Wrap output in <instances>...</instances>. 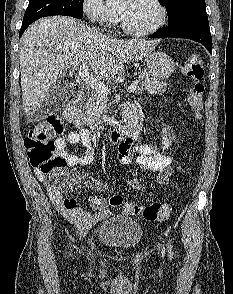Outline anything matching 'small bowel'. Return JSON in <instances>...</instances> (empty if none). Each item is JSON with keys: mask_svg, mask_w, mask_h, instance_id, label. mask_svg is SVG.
Listing matches in <instances>:
<instances>
[{"mask_svg": "<svg viewBox=\"0 0 233 294\" xmlns=\"http://www.w3.org/2000/svg\"><path fill=\"white\" fill-rule=\"evenodd\" d=\"M82 144L84 152L81 155H74L67 152V145ZM58 153L62 155L67 165L70 167L87 166L91 164L95 157L94 146L90 139L88 131L84 128L71 131L67 135L56 139ZM138 152L135 158L140 171L156 172L155 182L158 184H167L173 173L172 156L170 154H161L151 145H136L133 143L120 144L118 149V161L122 164L132 162V152ZM40 180L47 186L48 194L53 203L63 213L66 219L76 227L80 232H86L101 220L109 216L110 210L104 198L98 195H92L89 198L91 206L98 211L90 213L84 210L73 198L64 197L61 190L54 188L48 178L38 172ZM77 185L85 186L96 191H107L108 185L89 175L81 172L73 174ZM129 185L134 189L140 188V179L136 175L129 180Z\"/></svg>", "mask_w": 233, "mask_h": 294, "instance_id": "c3829d8e", "label": "small bowel"}]
</instances>
